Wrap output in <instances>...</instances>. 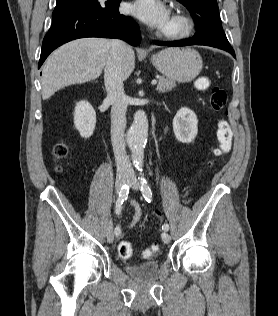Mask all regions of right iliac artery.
Returning a JSON list of instances; mask_svg holds the SVG:
<instances>
[{
    "label": "right iliac artery",
    "mask_w": 278,
    "mask_h": 316,
    "mask_svg": "<svg viewBox=\"0 0 278 316\" xmlns=\"http://www.w3.org/2000/svg\"><path fill=\"white\" fill-rule=\"evenodd\" d=\"M129 193V186L128 185H123L120 192H119V197L116 201V206H115V213L117 215H119L121 213V209H122V204L124 202V200L127 198ZM114 233L116 236H119L121 233V229L119 226H117L114 230Z\"/></svg>",
    "instance_id": "82829eb1"
}]
</instances>
